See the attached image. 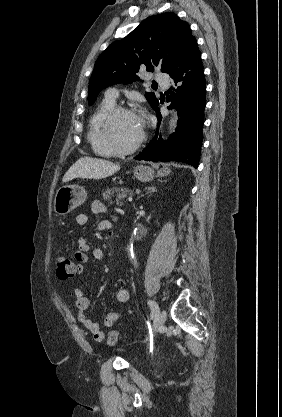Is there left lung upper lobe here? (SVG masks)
<instances>
[{
	"label": "left lung upper lobe",
	"instance_id": "1",
	"mask_svg": "<svg viewBox=\"0 0 282 417\" xmlns=\"http://www.w3.org/2000/svg\"><path fill=\"white\" fill-rule=\"evenodd\" d=\"M193 40L189 24L175 13L146 18L128 36L113 42L101 53L89 80L88 104L95 101L102 89L138 78L135 72L140 68L166 73ZM145 97L152 107L158 103L153 92H146Z\"/></svg>",
	"mask_w": 282,
	"mask_h": 417
}]
</instances>
